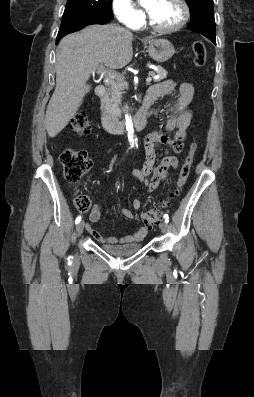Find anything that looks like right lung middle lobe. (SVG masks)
<instances>
[{
  "mask_svg": "<svg viewBox=\"0 0 254 397\" xmlns=\"http://www.w3.org/2000/svg\"><path fill=\"white\" fill-rule=\"evenodd\" d=\"M112 0H67L64 12H78L95 17L113 15Z\"/></svg>",
  "mask_w": 254,
  "mask_h": 397,
  "instance_id": "obj_1",
  "label": "right lung middle lobe"
}]
</instances>
